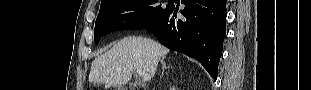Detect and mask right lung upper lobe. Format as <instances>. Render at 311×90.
Segmentation results:
<instances>
[{
	"label": "right lung upper lobe",
	"instance_id": "right-lung-upper-lobe-1",
	"mask_svg": "<svg viewBox=\"0 0 311 90\" xmlns=\"http://www.w3.org/2000/svg\"><path fill=\"white\" fill-rule=\"evenodd\" d=\"M105 1H107V0H102L101 3L105 2Z\"/></svg>",
	"mask_w": 311,
	"mask_h": 90
}]
</instances>
